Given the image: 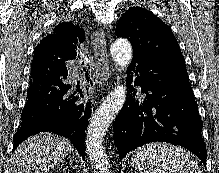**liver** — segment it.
<instances>
[{
	"label": "liver",
	"instance_id": "obj_1",
	"mask_svg": "<svg viewBox=\"0 0 219 173\" xmlns=\"http://www.w3.org/2000/svg\"><path fill=\"white\" fill-rule=\"evenodd\" d=\"M73 149L71 142L62 136L49 132L32 136L13 153L10 173H47Z\"/></svg>",
	"mask_w": 219,
	"mask_h": 173
}]
</instances>
